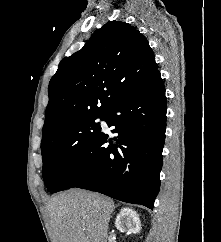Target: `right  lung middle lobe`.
<instances>
[{
    "label": "right lung middle lobe",
    "instance_id": "1",
    "mask_svg": "<svg viewBox=\"0 0 221 242\" xmlns=\"http://www.w3.org/2000/svg\"><path fill=\"white\" fill-rule=\"evenodd\" d=\"M97 118L103 116H82L42 136V175L48 191L54 189L70 165L101 132Z\"/></svg>",
    "mask_w": 221,
    "mask_h": 242
}]
</instances>
